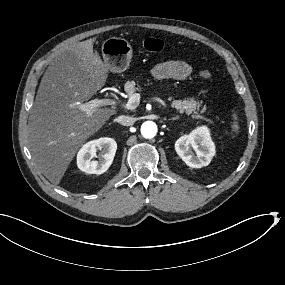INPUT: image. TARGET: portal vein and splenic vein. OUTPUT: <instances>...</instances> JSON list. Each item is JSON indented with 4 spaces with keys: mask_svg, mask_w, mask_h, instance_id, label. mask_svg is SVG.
<instances>
[{
    "mask_svg": "<svg viewBox=\"0 0 285 285\" xmlns=\"http://www.w3.org/2000/svg\"><path fill=\"white\" fill-rule=\"evenodd\" d=\"M140 99H141L140 93H135L132 96H130L127 102H121L118 99L110 97L95 98L86 103L78 104L77 108L80 111L85 112L88 115V117H92L93 111H95L98 108L107 107V106H113V107L120 106L125 110H134L135 107L138 105ZM151 100L156 101L163 107H167L166 102L158 96L155 95L151 96ZM190 117L192 119H201V120L207 119L205 116H202L200 114H192Z\"/></svg>",
    "mask_w": 285,
    "mask_h": 285,
    "instance_id": "portal-vein-and-splenic-vein-1",
    "label": "portal vein and splenic vein"
}]
</instances>
